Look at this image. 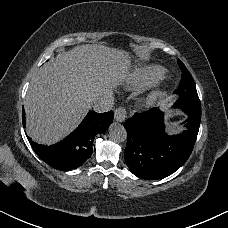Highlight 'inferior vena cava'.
<instances>
[{"label":"inferior vena cava","mask_w":228,"mask_h":228,"mask_svg":"<svg viewBox=\"0 0 228 228\" xmlns=\"http://www.w3.org/2000/svg\"><path fill=\"white\" fill-rule=\"evenodd\" d=\"M90 99L92 109L97 113H105L113 109L114 96L110 91L104 94H91Z\"/></svg>","instance_id":"inferior-vena-cava-1"}]
</instances>
